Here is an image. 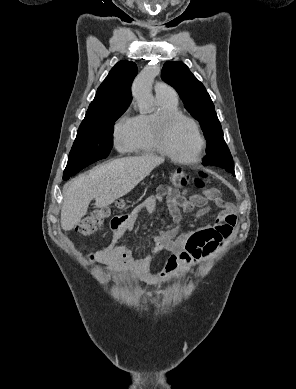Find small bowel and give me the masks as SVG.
Returning a JSON list of instances; mask_svg holds the SVG:
<instances>
[{
	"label": "small bowel",
	"instance_id": "obj_1",
	"mask_svg": "<svg viewBox=\"0 0 296 389\" xmlns=\"http://www.w3.org/2000/svg\"><path fill=\"white\" fill-rule=\"evenodd\" d=\"M162 197L167 200L173 221L155 241L157 250H166L171 253L166 265L165 276L208 258L235 230L237 223L235 207L222 200L217 193L212 192L208 197L194 194L187 198L172 187L162 186L158 190V195L146 198L140 206L123 216L121 220L110 222L112 229L110 240L105 248L90 256L91 260L119 270L130 264L132 261L130 250L120 243V240L132 231L135 222L144 211L156 210L158 201ZM210 200L221 209L217 218L203 227L181 232L182 213L201 218L207 214V204Z\"/></svg>",
	"mask_w": 296,
	"mask_h": 389
}]
</instances>
